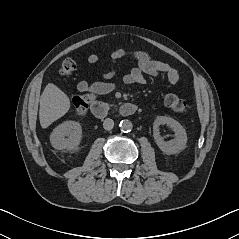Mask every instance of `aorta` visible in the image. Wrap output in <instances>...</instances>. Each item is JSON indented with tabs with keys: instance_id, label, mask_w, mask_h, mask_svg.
<instances>
[{
	"instance_id": "762f6f07",
	"label": "aorta",
	"mask_w": 239,
	"mask_h": 239,
	"mask_svg": "<svg viewBox=\"0 0 239 239\" xmlns=\"http://www.w3.org/2000/svg\"><path fill=\"white\" fill-rule=\"evenodd\" d=\"M119 127H120V130L122 132L128 133V132H130L132 130L133 124H132V122L130 120L125 119V120L120 121Z\"/></svg>"
}]
</instances>
